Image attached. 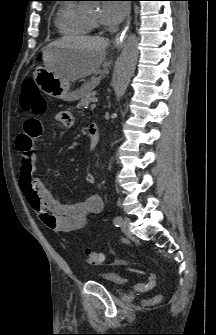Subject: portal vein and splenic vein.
Returning a JSON list of instances; mask_svg holds the SVG:
<instances>
[{
  "mask_svg": "<svg viewBox=\"0 0 216 335\" xmlns=\"http://www.w3.org/2000/svg\"><path fill=\"white\" fill-rule=\"evenodd\" d=\"M96 102H97V100H95V101H94V103H93V104H91V109H94V108H96Z\"/></svg>",
  "mask_w": 216,
  "mask_h": 335,
  "instance_id": "18ae733b",
  "label": "portal vein and splenic vein"
}]
</instances>
